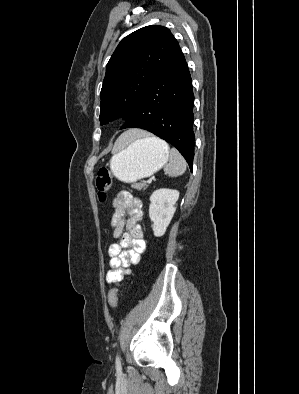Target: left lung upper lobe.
I'll return each instance as SVG.
<instances>
[{"instance_id":"obj_1","label":"left lung upper lobe","mask_w":299,"mask_h":394,"mask_svg":"<svg viewBox=\"0 0 299 394\" xmlns=\"http://www.w3.org/2000/svg\"><path fill=\"white\" fill-rule=\"evenodd\" d=\"M182 53L169 29L151 25L126 36L107 66L101 89L100 123L128 119L154 80Z\"/></svg>"}]
</instances>
